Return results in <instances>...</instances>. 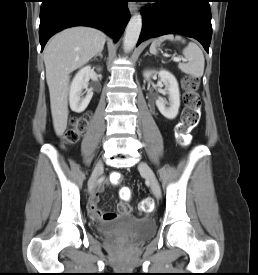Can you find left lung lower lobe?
I'll list each match as a JSON object with an SVG mask.
<instances>
[{
  "mask_svg": "<svg viewBox=\"0 0 258 275\" xmlns=\"http://www.w3.org/2000/svg\"><path fill=\"white\" fill-rule=\"evenodd\" d=\"M153 9H143V25L138 40L177 33L197 39L207 52L211 36L209 0H156ZM137 44V45H138Z\"/></svg>",
  "mask_w": 258,
  "mask_h": 275,
  "instance_id": "obj_1",
  "label": "left lung lower lobe"
}]
</instances>
